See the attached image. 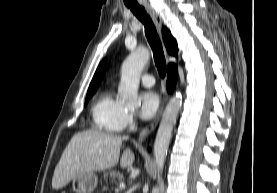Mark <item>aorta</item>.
I'll list each match as a JSON object with an SVG mask.
<instances>
[{"label": "aorta", "mask_w": 277, "mask_h": 193, "mask_svg": "<svg viewBox=\"0 0 277 193\" xmlns=\"http://www.w3.org/2000/svg\"><path fill=\"white\" fill-rule=\"evenodd\" d=\"M149 59V50L146 48H138L132 52L122 64L118 95L120 100L128 107H136L140 104L138 98L140 77ZM181 105L182 94L181 92H176L175 96L168 102L163 113L154 143V156L158 172L163 171L172 130L176 123ZM158 192V187H155L152 191V193Z\"/></svg>", "instance_id": "aorta-1"}]
</instances>
